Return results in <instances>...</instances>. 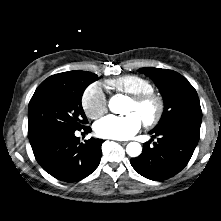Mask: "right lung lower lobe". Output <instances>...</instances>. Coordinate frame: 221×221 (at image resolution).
Segmentation results:
<instances>
[{
  "mask_svg": "<svg viewBox=\"0 0 221 221\" xmlns=\"http://www.w3.org/2000/svg\"><path fill=\"white\" fill-rule=\"evenodd\" d=\"M81 129L91 131L89 127ZM76 130L55 128L29 138L37 162L46 172L61 181L82 180L100 163L104 140L91 138L80 143L74 135Z\"/></svg>",
  "mask_w": 221,
  "mask_h": 221,
  "instance_id": "98d812e1",
  "label": "right lung lower lobe"
}]
</instances>
